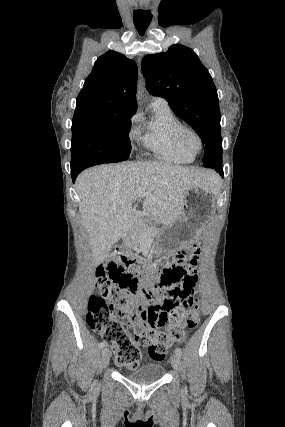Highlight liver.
Here are the masks:
<instances>
[{
	"label": "liver",
	"mask_w": 285,
	"mask_h": 427,
	"mask_svg": "<svg viewBox=\"0 0 285 427\" xmlns=\"http://www.w3.org/2000/svg\"><path fill=\"white\" fill-rule=\"evenodd\" d=\"M218 178L210 170L162 162L105 164L83 171L75 188L95 265L135 223L132 204L143 198L144 214L172 225L181 215L187 191L200 186L214 193Z\"/></svg>",
	"instance_id": "6515ba94"
}]
</instances>
